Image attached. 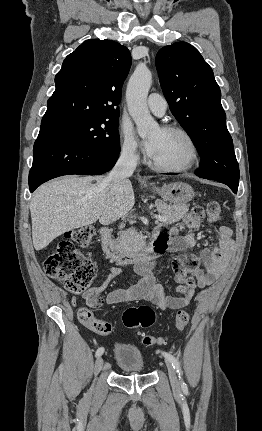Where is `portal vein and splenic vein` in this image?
Returning a JSON list of instances; mask_svg holds the SVG:
<instances>
[{
	"instance_id": "portal-vein-and-splenic-vein-1",
	"label": "portal vein and splenic vein",
	"mask_w": 262,
	"mask_h": 431,
	"mask_svg": "<svg viewBox=\"0 0 262 431\" xmlns=\"http://www.w3.org/2000/svg\"><path fill=\"white\" fill-rule=\"evenodd\" d=\"M154 218H155L157 221H165V220H166V218H165V217L160 216V215H154Z\"/></svg>"
}]
</instances>
